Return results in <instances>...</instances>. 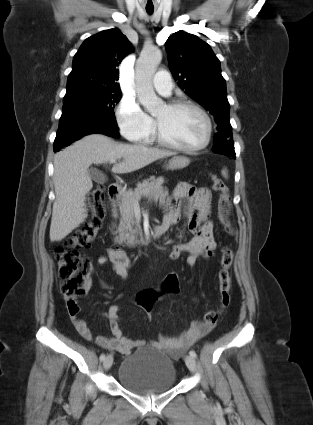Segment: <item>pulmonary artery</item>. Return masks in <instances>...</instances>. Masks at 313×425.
<instances>
[{
    "label": "pulmonary artery",
    "instance_id": "e3ab8cb5",
    "mask_svg": "<svg viewBox=\"0 0 313 425\" xmlns=\"http://www.w3.org/2000/svg\"><path fill=\"white\" fill-rule=\"evenodd\" d=\"M155 90L163 96H169L173 89V83L169 73L165 70H159L153 79Z\"/></svg>",
    "mask_w": 313,
    "mask_h": 425
}]
</instances>
